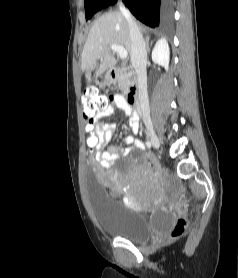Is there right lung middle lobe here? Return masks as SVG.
<instances>
[{"mask_svg": "<svg viewBox=\"0 0 238 278\" xmlns=\"http://www.w3.org/2000/svg\"><path fill=\"white\" fill-rule=\"evenodd\" d=\"M106 0H86L85 2V14L86 20L90 19L104 4Z\"/></svg>", "mask_w": 238, "mask_h": 278, "instance_id": "dd1d6c3e", "label": "right lung middle lobe"}]
</instances>
